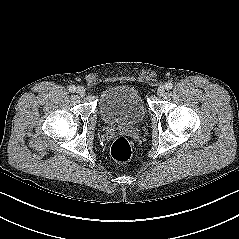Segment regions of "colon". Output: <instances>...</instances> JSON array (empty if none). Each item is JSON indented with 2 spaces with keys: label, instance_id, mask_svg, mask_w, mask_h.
<instances>
[{
  "label": "colon",
  "instance_id": "obj_1",
  "mask_svg": "<svg viewBox=\"0 0 239 239\" xmlns=\"http://www.w3.org/2000/svg\"><path fill=\"white\" fill-rule=\"evenodd\" d=\"M111 155L119 162H127L132 156L130 142L124 136L117 137L111 145Z\"/></svg>",
  "mask_w": 239,
  "mask_h": 239
}]
</instances>
